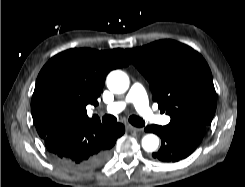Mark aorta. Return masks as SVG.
Listing matches in <instances>:
<instances>
[{
    "label": "aorta",
    "instance_id": "aorta-1",
    "mask_svg": "<svg viewBox=\"0 0 245 187\" xmlns=\"http://www.w3.org/2000/svg\"><path fill=\"white\" fill-rule=\"evenodd\" d=\"M107 87L113 93L121 94L129 88V78L126 73L115 70L107 76ZM159 146V138L154 134H148L142 138V147L147 152L155 151Z\"/></svg>",
    "mask_w": 245,
    "mask_h": 187
}]
</instances>
